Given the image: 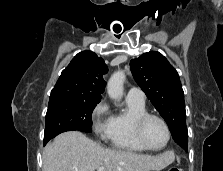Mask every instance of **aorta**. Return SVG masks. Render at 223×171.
<instances>
[{"label": "aorta", "mask_w": 223, "mask_h": 171, "mask_svg": "<svg viewBox=\"0 0 223 171\" xmlns=\"http://www.w3.org/2000/svg\"><path fill=\"white\" fill-rule=\"evenodd\" d=\"M125 81V73L119 70L113 73L107 83V92L111 99L120 100L123 96V84Z\"/></svg>", "instance_id": "762f6f07"}]
</instances>
